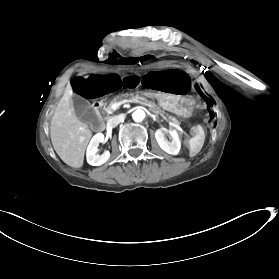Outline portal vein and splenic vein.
Listing matches in <instances>:
<instances>
[{
  "instance_id": "obj_1",
  "label": "portal vein and splenic vein",
  "mask_w": 279,
  "mask_h": 279,
  "mask_svg": "<svg viewBox=\"0 0 279 279\" xmlns=\"http://www.w3.org/2000/svg\"><path fill=\"white\" fill-rule=\"evenodd\" d=\"M127 103H142V104H144V106L146 108L154 109L155 113L157 115H161L166 120L167 124H169L170 126H173L174 128L180 129V131H182V134L187 136V138H190V134L185 132V131H183V128H181V126H177L176 124H173L172 122H170V120L168 119L167 115H165L164 113H161L157 108H155V106L147 104V102L145 100H136V99H130L129 100V99H125V101H122L119 104L114 103L112 106H110V109L117 110L120 106L126 105Z\"/></svg>"
}]
</instances>
